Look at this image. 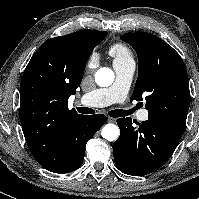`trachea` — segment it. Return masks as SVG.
<instances>
[{
  "instance_id": "1",
  "label": "trachea",
  "mask_w": 199,
  "mask_h": 199,
  "mask_svg": "<svg viewBox=\"0 0 199 199\" xmlns=\"http://www.w3.org/2000/svg\"><path fill=\"white\" fill-rule=\"evenodd\" d=\"M77 110L79 113H82V114H94L95 113V110L88 108V107H77ZM130 113H131V110L116 109V110H111L108 114L111 117L117 118V117L127 116Z\"/></svg>"
}]
</instances>
